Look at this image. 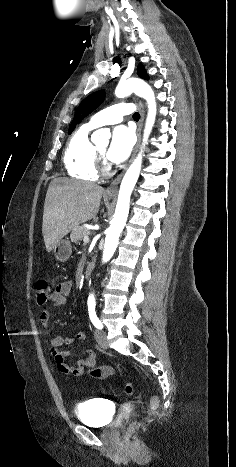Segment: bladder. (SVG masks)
Here are the masks:
<instances>
[{
  "mask_svg": "<svg viewBox=\"0 0 236 467\" xmlns=\"http://www.w3.org/2000/svg\"><path fill=\"white\" fill-rule=\"evenodd\" d=\"M114 408L109 401L104 399H90L75 408V416L81 422L95 427L109 425L108 414Z\"/></svg>",
  "mask_w": 236,
  "mask_h": 467,
  "instance_id": "1",
  "label": "bladder"
}]
</instances>
